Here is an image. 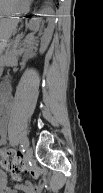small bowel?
<instances>
[{"label": "small bowel", "instance_id": "1", "mask_svg": "<svg viewBox=\"0 0 103 193\" xmlns=\"http://www.w3.org/2000/svg\"><path fill=\"white\" fill-rule=\"evenodd\" d=\"M12 100L9 94L3 97V116L0 123L1 145H5L8 141L7 116ZM14 179L19 182L17 185L9 184L8 176L4 172L0 173V185L4 193H44L45 181L36 185L29 180H23L19 175H15Z\"/></svg>", "mask_w": 103, "mask_h": 193}]
</instances>
